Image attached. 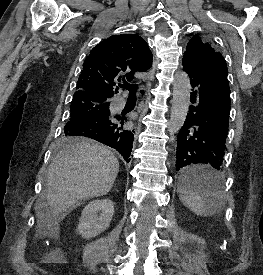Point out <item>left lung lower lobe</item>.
<instances>
[{"mask_svg": "<svg viewBox=\"0 0 263 275\" xmlns=\"http://www.w3.org/2000/svg\"><path fill=\"white\" fill-rule=\"evenodd\" d=\"M183 69L190 79V101L195 105L189 107L177 137L176 170L183 182L211 193L226 151L230 114L227 66L187 59Z\"/></svg>", "mask_w": 263, "mask_h": 275, "instance_id": "obj_1", "label": "left lung lower lobe"}]
</instances>
